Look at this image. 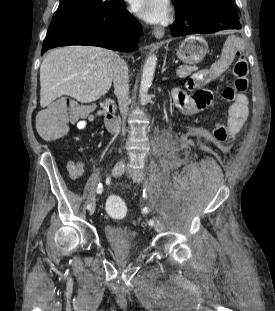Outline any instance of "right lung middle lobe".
I'll return each instance as SVG.
<instances>
[{
  "instance_id": "dd1d6c3e",
  "label": "right lung middle lobe",
  "mask_w": 275,
  "mask_h": 311,
  "mask_svg": "<svg viewBox=\"0 0 275 311\" xmlns=\"http://www.w3.org/2000/svg\"><path fill=\"white\" fill-rule=\"evenodd\" d=\"M120 3L121 0H61L53 17L52 24L67 19L109 11Z\"/></svg>"
}]
</instances>
